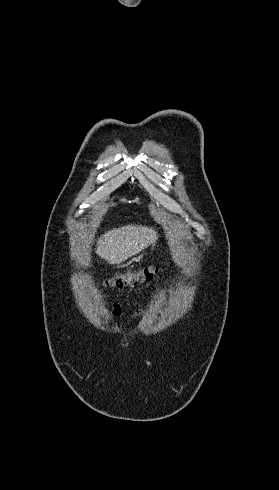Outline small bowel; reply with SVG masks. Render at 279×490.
I'll use <instances>...</instances> for the list:
<instances>
[{
    "label": "small bowel",
    "instance_id": "c3829d8e",
    "mask_svg": "<svg viewBox=\"0 0 279 490\" xmlns=\"http://www.w3.org/2000/svg\"><path fill=\"white\" fill-rule=\"evenodd\" d=\"M120 307L118 304H114L113 307H112V310H111V316L113 318H118L120 316ZM136 319H139L141 317V313L140 312H137L134 316Z\"/></svg>",
    "mask_w": 279,
    "mask_h": 490
}]
</instances>
